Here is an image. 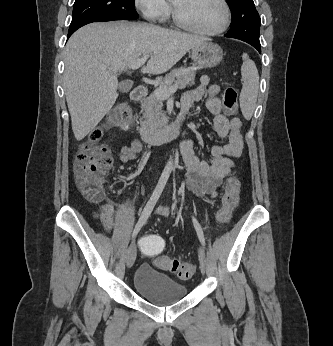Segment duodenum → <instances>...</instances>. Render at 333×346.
Returning <instances> with one entry per match:
<instances>
[{
    "instance_id": "obj_1",
    "label": "duodenum",
    "mask_w": 333,
    "mask_h": 346,
    "mask_svg": "<svg viewBox=\"0 0 333 346\" xmlns=\"http://www.w3.org/2000/svg\"><path fill=\"white\" fill-rule=\"evenodd\" d=\"M145 96L146 88L144 86H136L131 92V99L133 101H141ZM184 120V117L179 116L170 124L157 129L141 126L139 128V135L144 142L149 144L167 142L181 134Z\"/></svg>"
}]
</instances>
